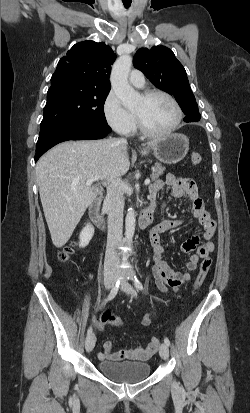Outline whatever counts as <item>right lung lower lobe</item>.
Segmentation results:
<instances>
[{
  "label": "right lung lower lobe",
  "mask_w": 250,
  "mask_h": 413,
  "mask_svg": "<svg viewBox=\"0 0 250 413\" xmlns=\"http://www.w3.org/2000/svg\"><path fill=\"white\" fill-rule=\"evenodd\" d=\"M111 132L107 124L73 122L54 127L39 135L35 162L48 149L67 140H91L106 137Z\"/></svg>",
  "instance_id": "obj_1"
}]
</instances>
